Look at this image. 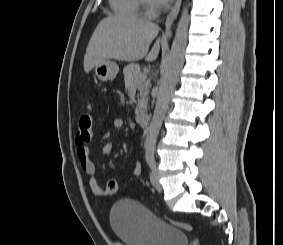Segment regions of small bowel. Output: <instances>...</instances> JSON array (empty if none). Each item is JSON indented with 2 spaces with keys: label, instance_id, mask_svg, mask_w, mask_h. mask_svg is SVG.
Wrapping results in <instances>:
<instances>
[{
  "label": "small bowel",
  "instance_id": "obj_1",
  "mask_svg": "<svg viewBox=\"0 0 283 245\" xmlns=\"http://www.w3.org/2000/svg\"><path fill=\"white\" fill-rule=\"evenodd\" d=\"M112 127L113 129L104 132L100 137V141L104 142L102 149L105 155H109L112 151V143L109 141V139L113 136V130H118L123 128L124 121L120 118H117L113 121ZM77 158L81 169L88 176V182L91 191L95 195H105L106 194L105 191L100 187L96 179L95 164L91 156L90 148L86 146H80L77 149ZM133 173L135 175H140L142 173V166L139 162L135 163L133 168Z\"/></svg>",
  "mask_w": 283,
  "mask_h": 245
}]
</instances>
